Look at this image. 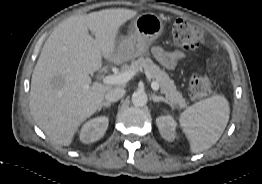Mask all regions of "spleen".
<instances>
[{
    "mask_svg": "<svg viewBox=\"0 0 262 184\" xmlns=\"http://www.w3.org/2000/svg\"><path fill=\"white\" fill-rule=\"evenodd\" d=\"M229 114V103L222 95L199 101L180 114L179 122L192 153L202 152L216 144L227 126Z\"/></svg>",
    "mask_w": 262,
    "mask_h": 184,
    "instance_id": "obj_1",
    "label": "spleen"
}]
</instances>
